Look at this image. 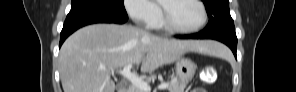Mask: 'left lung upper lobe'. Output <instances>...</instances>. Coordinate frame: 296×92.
Masks as SVG:
<instances>
[{"mask_svg":"<svg viewBox=\"0 0 296 92\" xmlns=\"http://www.w3.org/2000/svg\"><path fill=\"white\" fill-rule=\"evenodd\" d=\"M205 4L209 22L203 33L212 36L223 33L235 34L233 19L230 16L229 0H202Z\"/></svg>","mask_w":296,"mask_h":92,"instance_id":"5c2ea615","label":"left lung upper lobe"}]
</instances>
